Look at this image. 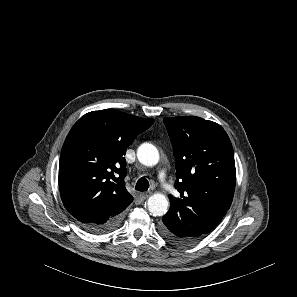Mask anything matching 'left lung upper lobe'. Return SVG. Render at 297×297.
<instances>
[{
  "label": "left lung upper lobe",
  "mask_w": 297,
  "mask_h": 297,
  "mask_svg": "<svg viewBox=\"0 0 297 297\" xmlns=\"http://www.w3.org/2000/svg\"><path fill=\"white\" fill-rule=\"evenodd\" d=\"M176 162L175 187L169 196L181 232L192 241L211 232L234 196V152L225 130L194 116L164 118Z\"/></svg>",
  "instance_id": "5c2ea615"
}]
</instances>
